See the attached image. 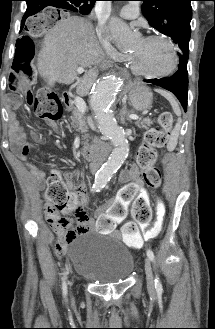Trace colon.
<instances>
[{
	"mask_svg": "<svg viewBox=\"0 0 215 329\" xmlns=\"http://www.w3.org/2000/svg\"><path fill=\"white\" fill-rule=\"evenodd\" d=\"M57 21H68V14L57 12L32 14L31 19L27 20V25L23 26L26 36L17 37L19 55H13V61H7V68H9L10 73L26 74H11L9 92L7 93L9 99L7 109H22V103H26L28 99L33 104L37 117L53 122L60 119L61 112L56 93L42 89L34 95L27 89L28 74H31V62L35 55L34 44H38V38H51L52 26H56ZM172 123V114L169 111L161 112L158 118V127L146 132L145 141L138 151L137 161L142 169L144 181L148 187L154 190L161 185V173L155 165L158 149L167 143ZM45 197L55 213L72 212L76 218L84 213L83 208L88 201L85 188L83 186H79L77 189L70 188L68 182L58 171H53L50 174ZM156 204L157 206H153L155 223L147 228L151 218H134V222H128L123 226L124 238L134 240L140 237L149 241L160 234L163 221L167 220L168 206H162L160 199H157ZM51 226L58 234V243L62 244L67 241L68 233L75 227V223L62 217Z\"/></svg>",
	"mask_w": 215,
	"mask_h": 329,
	"instance_id": "5ec220e1",
	"label": "colon"
}]
</instances>
